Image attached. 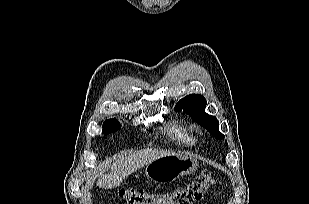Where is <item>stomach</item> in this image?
Listing matches in <instances>:
<instances>
[{
    "mask_svg": "<svg viewBox=\"0 0 309 204\" xmlns=\"http://www.w3.org/2000/svg\"><path fill=\"white\" fill-rule=\"evenodd\" d=\"M197 161L188 156L178 154L160 157L146 165L145 175L154 182L174 181L180 176L196 171Z\"/></svg>",
    "mask_w": 309,
    "mask_h": 204,
    "instance_id": "obj_1",
    "label": "stomach"
}]
</instances>
